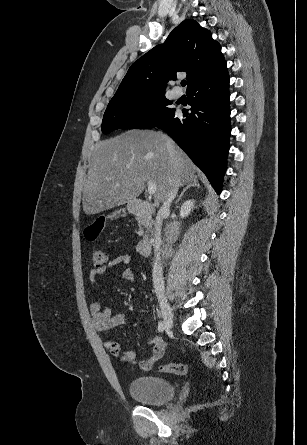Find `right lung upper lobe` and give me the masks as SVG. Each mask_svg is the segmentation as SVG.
Masks as SVG:
<instances>
[{"mask_svg": "<svg viewBox=\"0 0 307 445\" xmlns=\"http://www.w3.org/2000/svg\"><path fill=\"white\" fill-rule=\"evenodd\" d=\"M226 61L209 30L186 19L167 37L131 65L112 99L164 93L166 82L187 72L188 88ZM187 88V89H188Z\"/></svg>", "mask_w": 307, "mask_h": 445, "instance_id": "1", "label": "right lung upper lobe"}]
</instances>
